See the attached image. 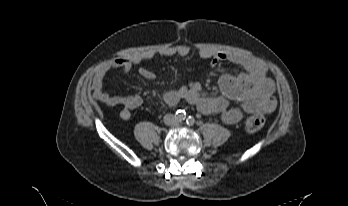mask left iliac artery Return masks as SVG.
Instances as JSON below:
<instances>
[{
	"label": "left iliac artery",
	"mask_w": 348,
	"mask_h": 206,
	"mask_svg": "<svg viewBox=\"0 0 348 206\" xmlns=\"http://www.w3.org/2000/svg\"><path fill=\"white\" fill-rule=\"evenodd\" d=\"M194 118L192 117V116H189L187 119H186V122H187V124H189V125H192L193 123H194Z\"/></svg>",
	"instance_id": "obj_1"
}]
</instances>
